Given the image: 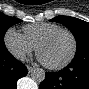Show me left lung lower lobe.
Instances as JSON below:
<instances>
[{"instance_id": "obj_1", "label": "left lung lower lobe", "mask_w": 89, "mask_h": 89, "mask_svg": "<svg viewBox=\"0 0 89 89\" xmlns=\"http://www.w3.org/2000/svg\"><path fill=\"white\" fill-rule=\"evenodd\" d=\"M40 89H89V50L75 54L63 70L46 73Z\"/></svg>"}]
</instances>
